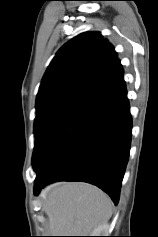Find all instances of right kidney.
<instances>
[{
  "label": "right kidney",
  "mask_w": 158,
  "mask_h": 237,
  "mask_svg": "<svg viewBox=\"0 0 158 237\" xmlns=\"http://www.w3.org/2000/svg\"><path fill=\"white\" fill-rule=\"evenodd\" d=\"M92 236H108L109 235V225L102 224L98 226L94 231Z\"/></svg>",
  "instance_id": "obj_1"
}]
</instances>
